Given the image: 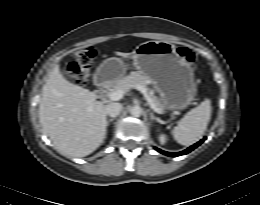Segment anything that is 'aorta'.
<instances>
[{"instance_id": "1", "label": "aorta", "mask_w": 260, "mask_h": 205, "mask_svg": "<svg viewBox=\"0 0 260 205\" xmlns=\"http://www.w3.org/2000/svg\"><path fill=\"white\" fill-rule=\"evenodd\" d=\"M129 112L134 117H140L142 114V108L138 105H135L129 109Z\"/></svg>"}]
</instances>
